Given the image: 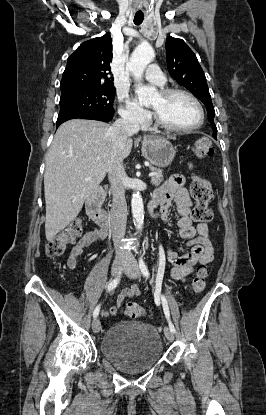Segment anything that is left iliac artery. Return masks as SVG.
<instances>
[{
  "label": "left iliac artery",
  "instance_id": "1",
  "mask_svg": "<svg viewBox=\"0 0 266 415\" xmlns=\"http://www.w3.org/2000/svg\"><path fill=\"white\" fill-rule=\"evenodd\" d=\"M139 267H140V270H141L142 274L146 278H148L150 276V274H149V271L147 269V266H146L142 256L139 258ZM162 279H163V271L158 269V274H157V278H156V290H157V292H159L161 290ZM161 300H162L164 314H165L166 319H167L168 324H169V328L173 333H175L176 332L175 327H174V325L172 324V322L170 320V313H169L167 300L163 295H161Z\"/></svg>",
  "mask_w": 266,
  "mask_h": 415
}]
</instances>
